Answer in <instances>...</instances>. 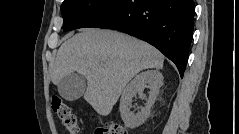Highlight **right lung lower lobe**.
I'll return each mask as SVG.
<instances>
[{"label":"right lung lower lobe","instance_id":"98d812e1","mask_svg":"<svg viewBox=\"0 0 239 134\" xmlns=\"http://www.w3.org/2000/svg\"><path fill=\"white\" fill-rule=\"evenodd\" d=\"M194 12L193 0H116L83 27L114 29L144 40L173 61L183 77Z\"/></svg>","mask_w":239,"mask_h":134}]
</instances>
